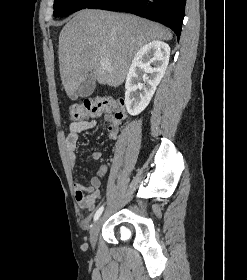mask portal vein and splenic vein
<instances>
[{"instance_id":"portal-vein-and-splenic-vein-1","label":"portal vein and splenic vein","mask_w":247,"mask_h":280,"mask_svg":"<svg viewBox=\"0 0 247 280\" xmlns=\"http://www.w3.org/2000/svg\"><path fill=\"white\" fill-rule=\"evenodd\" d=\"M108 64H109V62H108V59H107V58H102V59L100 60V65H101V66L105 67V66H107Z\"/></svg>"}]
</instances>
